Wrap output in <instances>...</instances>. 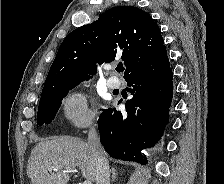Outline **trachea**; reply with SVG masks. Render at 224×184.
<instances>
[{
    "mask_svg": "<svg viewBox=\"0 0 224 184\" xmlns=\"http://www.w3.org/2000/svg\"><path fill=\"white\" fill-rule=\"evenodd\" d=\"M117 72H123L124 71V67L122 65H118L116 68Z\"/></svg>",
    "mask_w": 224,
    "mask_h": 184,
    "instance_id": "1",
    "label": "trachea"
}]
</instances>
